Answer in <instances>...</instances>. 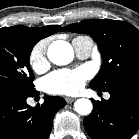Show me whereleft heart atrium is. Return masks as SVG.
Wrapping results in <instances>:
<instances>
[{"label":"left heart atrium","instance_id":"obj_1","mask_svg":"<svg viewBox=\"0 0 139 139\" xmlns=\"http://www.w3.org/2000/svg\"><path fill=\"white\" fill-rule=\"evenodd\" d=\"M90 72L85 67L77 69H61L44 78V88L52 94L72 95L78 93L84 86Z\"/></svg>","mask_w":139,"mask_h":139}]
</instances>
